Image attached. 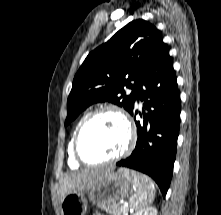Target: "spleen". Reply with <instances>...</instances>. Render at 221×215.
Wrapping results in <instances>:
<instances>
[{
	"label": "spleen",
	"instance_id": "1",
	"mask_svg": "<svg viewBox=\"0 0 221 215\" xmlns=\"http://www.w3.org/2000/svg\"><path fill=\"white\" fill-rule=\"evenodd\" d=\"M127 172V171H126ZM134 194L129 198L130 208L140 211L148 208L154 200L155 187L152 180L145 176L141 179H135L134 181Z\"/></svg>",
	"mask_w": 221,
	"mask_h": 215
}]
</instances>
